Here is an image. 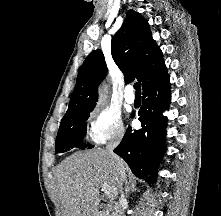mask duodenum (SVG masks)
I'll return each mask as SVG.
<instances>
[{"label":"duodenum","instance_id":"obj_1","mask_svg":"<svg viewBox=\"0 0 221 216\" xmlns=\"http://www.w3.org/2000/svg\"><path fill=\"white\" fill-rule=\"evenodd\" d=\"M94 216H103L100 211L96 212Z\"/></svg>","mask_w":221,"mask_h":216}]
</instances>
